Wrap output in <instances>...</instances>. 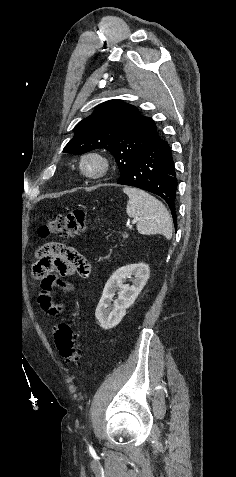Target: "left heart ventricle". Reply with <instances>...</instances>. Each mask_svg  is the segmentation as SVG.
Here are the masks:
<instances>
[{"label": "left heart ventricle", "instance_id": "left-heart-ventricle-1", "mask_svg": "<svg viewBox=\"0 0 236 477\" xmlns=\"http://www.w3.org/2000/svg\"><path fill=\"white\" fill-rule=\"evenodd\" d=\"M85 167L88 171L93 172L98 169V163L94 160H89L86 162Z\"/></svg>", "mask_w": 236, "mask_h": 477}]
</instances>
